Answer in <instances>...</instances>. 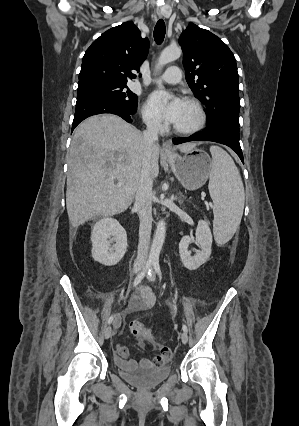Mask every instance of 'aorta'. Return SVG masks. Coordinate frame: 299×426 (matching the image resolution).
Wrapping results in <instances>:
<instances>
[{
    "instance_id": "obj_1",
    "label": "aorta",
    "mask_w": 299,
    "mask_h": 426,
    "mask_svg": "<svg viewBox=\"0 0 299 426\" xmlns=\"http://www.w3.org/2000/svg\"><path fill=\"white\" fill-rule=\"evenodd\" d=\"M181 48L177 46H170L165 48L159 56L157 69H161L164 65L177 60L181 56ZM166 224L162 219L157 223L156 232L150 249L149 260L151 262H158L159 255L165 240Z\"/></svg>"
}]
</instances>
